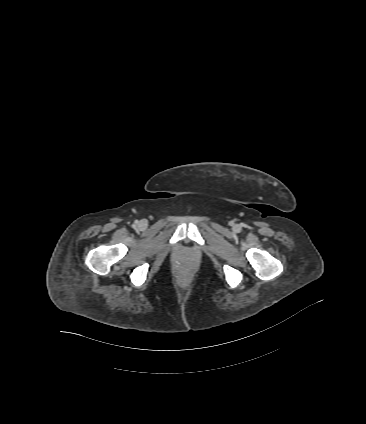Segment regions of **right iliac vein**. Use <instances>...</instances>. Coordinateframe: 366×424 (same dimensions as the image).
Segmentation results:
<instances>
[{"label":"right iliac vein","instance_id":"right-iliac-vein-1","mask_svg":"<svg viewBox=\"0 0 366 424\" xmlns=\"http://www.w3.org/2000/svg\"><path fill=\"white\" fill-rule=\"evenodd\" d=\"M146 226V221L145 220H141L140 222H139V227L140 228H144Z\"/></svg>","mask_w":366,"mask_h":424}]
</instances>
